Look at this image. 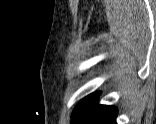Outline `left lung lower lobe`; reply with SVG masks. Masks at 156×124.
Here are the masks:
<instances>
[{
  "mask_svg": "<svg viewBox=\"0 0 156 124\" xmlns=\"http://www.w3.org/2000/svg\"><path fill=\"white\" fill-rule=\"evenodd\" d=\"M97 99L78 124H116V116L118 114L117 108L98 105L96 103Z\"/></svg>",
  "mask_w": 156,
  "mask_h": 124,
  "instance_id": "left-lung-lower-lobe-1",
  "label": "left lung lower lobe"
}]
</instances>
